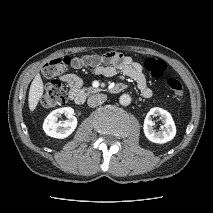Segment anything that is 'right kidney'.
Masks as SVG:
<instances>
[{
    "instance_id": "1",
    "label": "right kidney",
    "mask_w": 213,
    "mask_h": 213,
    "mask_svg": "<svg viewBox=\"0 0 213 213\" xmlns=\"http://www.w3.org/2000/svg\"><path fill=\"white\" fill-rule=\"evenodd\" d=\"M64 114L68 120L64 123L58 122V118ZM77 127V119L74 116V109L63 107L52 111L44 120V132L53 138L64 139L68 137Z\"/></svg>"
}]
</instances>
